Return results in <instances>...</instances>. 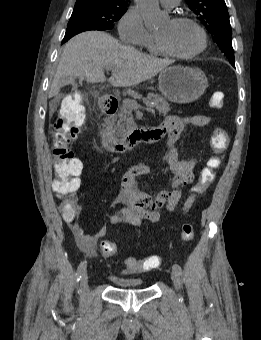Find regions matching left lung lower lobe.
<instances>
[{"label":"left lung lower lobe","mask_w":261,"mask_h":340,"mask_svg":"<svg viewBox=\"0 0 261 340\" xmlns=\"http://www.w3.org/2000/svg\"><path fill=\"white\" fill-rule=\"evenodd\" d=\"M229 62H230V64H231L232 66H235L233 61H229Z\"/></svg>","instance_id":"1"}]
</instances>
